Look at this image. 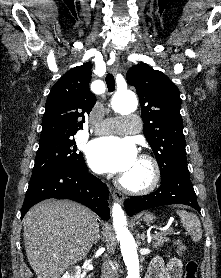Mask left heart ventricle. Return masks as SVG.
Masks as SVG:
<instances>
[{
  "instance_id": "b2bd125f",
  "label": "left heart ventricle",
  "mask_w": 221,
  "mask_h": 278,
  "mask_svg": "<svg viewBox=\"0 0 221 278\" xmlns=\"http://www.w3.org/2000/svg\"><path fill=\"white\" fill-rule=\"evenodd\" d=\"M121 177L128 185L141 187L150 180L151 169L147 162L137 158L132 167Z\"/></svg>"
}]
</instances>
